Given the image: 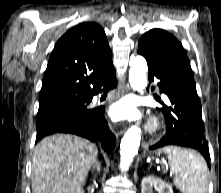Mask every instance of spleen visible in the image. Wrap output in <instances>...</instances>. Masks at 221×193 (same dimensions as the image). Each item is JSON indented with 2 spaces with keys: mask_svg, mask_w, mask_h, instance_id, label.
<instances>
[{
  "mask_svg": "<svg viewBox=\"0 0 221 193\" xmlns=\"http://www.w3.org/2000/svg\"><path fill=\"white\" fill-rule=\"evenodd\" d=\"M169 166L174 185L182 193H207V165L204 158L189 146H167Z\"/></svg>",
  "mask_w": 221,
  "mask_h": 193,
  "instance_id": "1",
  "label": "spleen"
}]
</instances>
